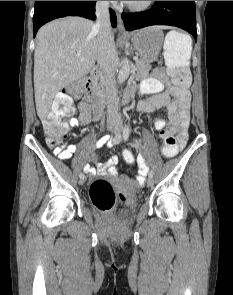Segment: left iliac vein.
<instances>
[{
	"label": "left iliac vein",
	"mask_w": 233,
	"mask_h": 295,
	"mask_svg": "<svg viewBox=\"0 0 233 295\" xmlns=\"http://www.w3.org/2000/svg\"><path fill=\"white\" fill-rule=\"evenodd\" d=\"M121 130H122L121 127H118V128H117V131H118V132H120ZM153 183H154L153 179L149 177L148 180H147V185H148L149 187H151V186L153 185Z\"/></svg>",
	"instance_id": "1"
}]
</instances>
